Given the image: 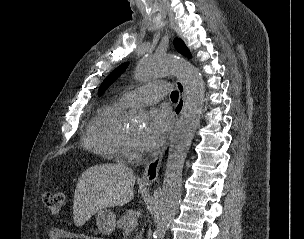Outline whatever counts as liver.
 Instances as JSON below:
<instances>
[{
    "label": "liver",
    "instance_id": "6515ba94",
    "mask_svg": "<svg viewBox=\"0 0 304 239\" xmlns=\"http://www.w3.org/2000/svg\"><path fill=\"white\" fill-rule=\"evenodd\" d=\"M135 175L123 164L95 165L78 179L73 215L77 227L108 207L123 206L134 198Z\"/></svg>",
    "mask_w": 304,
    "mask_h": 239
}]
</instances>
